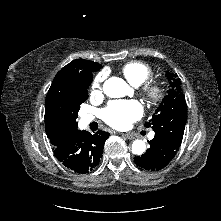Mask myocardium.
<instances>
[{"label":"myocardium","mask_w":221,"mask_h":221,"mask_svg":"<svg viewBox=\"0 0 221 221\" xmlns=\"http://www.w3.org/2000/svg\"><path fill=\"white\" fill-rule=\"evenodd\" d=\"M143 93L152 105L160 104L166 96V88L161 82H150L143 88Z\"/></svg>","instance_id":"myocardium-1"}]
</instances>
